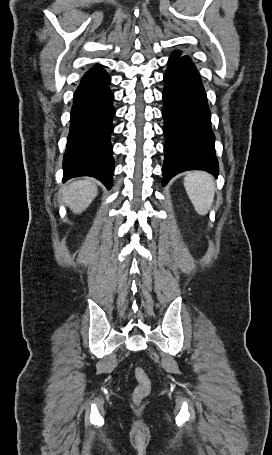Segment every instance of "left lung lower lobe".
<instances>
[{
	"mask_svg": "<svg viewBox=\"0 0 272 455\" xmlns=\"http://www.w3.org/2000/svg\"><path fill=\"white\" fill-rule=\"evenodd\" d=\"M163 80V185L186 170H205L217 177L211 113L198 70L188 56H171Z\"/></svg>",
	"mask_w": 272,
	"mask_h": 455,
	"instance_id": "0a47b994",
	"label": "left lung lower lobe"
}]
</instances>
